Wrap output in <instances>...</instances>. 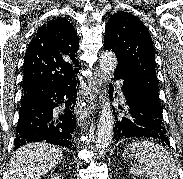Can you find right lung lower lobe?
Returning a JSON list of instances; mask_svg holds the SVG:
<instances>
[{
  "mask_svg": "<svg viewBox=\"0 0 183 179\" xmlns=\"http://www.w3.org/2000/svg\"><path fill=\"white\" fill-rule=\"evenodd\" d=\"M79 82L66 84L40 83L24 91L14 141L15 149L26 143L45 141L74 149L72 133L76 120L72 114ZM65 105L58 117L53 108Z\"/></svg>",
  "mask_w": 183,
  "mask_h": 179,
  "instance_id": "98d812e1",
  "label": "right lung lower lobe"
}]
</instances>
